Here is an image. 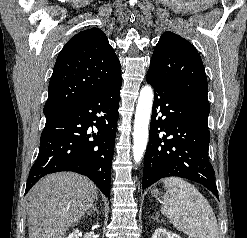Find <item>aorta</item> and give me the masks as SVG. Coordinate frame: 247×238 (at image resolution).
<instances>
[{
	"label": "aorta",
	"mask_w": 247,
	"mask_h": 238,
	"mask_svg": "<svg viewBox=\"0 0 247 238\" xmlns=\"http://www.w3.org/2000/svg\"><path fill=\"white\" fill-rule=\"evenodd\" d=\"M153 97V90L149 85L141 89L134 119L133 159L135 163L141 161L147 147Z\"/></svg>",
	"instance_id": "1"
}]
</instances>
